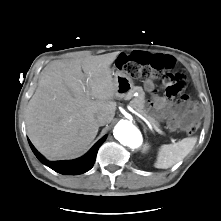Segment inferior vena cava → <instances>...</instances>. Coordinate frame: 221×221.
<instances>
[{
	"mask_svg": "<svg viewBox=\"0 0 221 221\" xmlns=\"http://www.w3.org/2000/svg\"><path fill=\"white\" fill-rule=\"evenodd\" d=\"M96 121L99 126H103V125L107 124V118L104 117L103 115H97Z\"/></svg>",
	"mask_w": 221,
	"mask_h": 221,
	"instance_id": "602c4592",
	"label": "inferior vena cava"
}]
</instances>
